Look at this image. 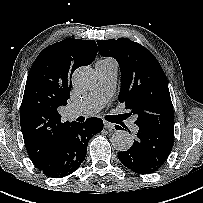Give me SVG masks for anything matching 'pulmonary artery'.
<instances>
[{"instance_id": "pulmonary-artery-1", "label": "pulmonary artery", "mask_w": 203, "mask_h": 203, "mask_svg": "<svg viewBox=\"0 0 203 203\" xmlns=\"http://www.w3.org/2000/svg\"><path fill=\"white\" fill-rule=\"evenodd\" d=\"M95 69L98 75L97 85L82 102L73 104L69 107V117L74 118L96 113L112 96L117 78L116 65L99 61L96 63ZM131 129L133 132L138 131V127L134 123L131 124Z\"/></svg>"}]
</instances>
